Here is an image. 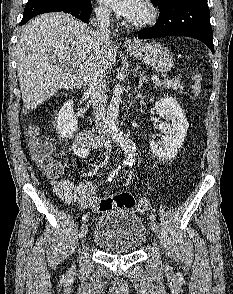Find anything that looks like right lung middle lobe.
I'll return each mask as SVG.
<instances>
[{
    "instance_id": "1",
    "label": "right lung middle lobe",
    "mask_w": 233,
    "mask_h": 294,
    "mask_svg": "<svg viewBox=\"0 0 233 294\" xmlns=\"http://www.w3.org/2000/svg\"><path fill=\"white\" fill-rule=\"evenodd\" d=\"M86 0H28L23 14L25 23L36 15L72 8Z\"/></svg>"
}]
</instances>
